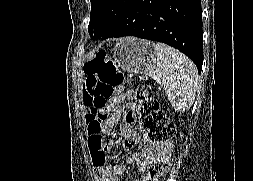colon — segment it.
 Returning a JSON list of instances; mask_svg holds the SVG:
<instances>
[{"instance_id":"colon-1","label":"colon","mask_w":253,"mask_h":181,"mask_svg":"<svg viewBox=\"0 0 253 181\" xmlns=\"http://www.w3.org/2000/svg\"><path fill=\"white\" fill-rule=\"evenodd\" d=\"M108 54V50H92L94 56L84 68L87 87L85 101L93 115L90 120L98 122L104 121L107 102L116 88L123 83L120 71L107 59ZM135 100L139 126L159 149L158 157L149 164L145 181H158L169 167L171 140L176 134V128L168 122L159 102L150 97L144 89L136 90Z\"/></svg>"}]
</instances>
